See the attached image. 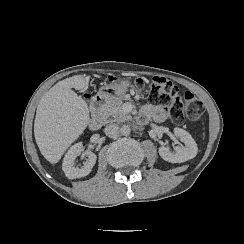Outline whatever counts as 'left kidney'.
Masks as SVG:
<instances>
[{
  "label": "left kidney",
  "instance_id": "5707ae66",
  "mask_svg": "<svg viewBox=\"0 0 244 244\" xmlns=\"http://www.w3.org/2000/svg\"><path fill=\"white\" fill-rule=\"evenodd\" d=\"M174 134L184 145L175 147L177 153L171 152L165 146H159L158 152L160 157L170 163H184L193 159L197 155L198 148L191 135L181 128H174Z\"/></svg>",
  "mask_w": 244,
  "mask_h": 244
}]
</instances>
